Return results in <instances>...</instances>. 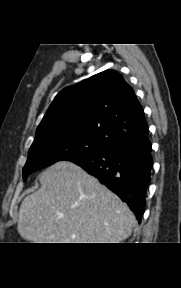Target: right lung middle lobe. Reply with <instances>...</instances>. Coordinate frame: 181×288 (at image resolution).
I'll return each instance as SVG.
<instances>
[{"mask_svg":"<svg viewBox=\"0 0 181 288\" xmlns=\"http://www.w3.org/2000/svg\"><path fill=\"white\" fill-rule=\"evenodd\" d=\"M106 147L88 137L65 136L50 137L33 142L27 162L23 168V179L33 171L49 166L61 160H74L76 158L99 153Z\"/></svg>","mask_w":181,"mask_h":288,"instance_id":"right-lung-middle-lobe-1","label":"right lung middle lobe"}]
</instances>
